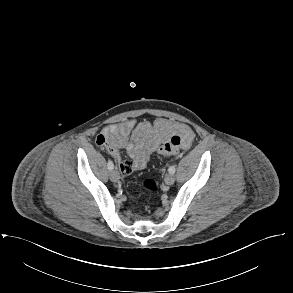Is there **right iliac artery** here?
<instances>
[{
	"mask_svg": "<svg viewBox=\"0 0 293 293\" xmlns=\"http://www.w3.org/2000/svg\"><path fill=\"white\" fill-rule=\"evenodd\" d=\"M107 167H108V169H109L110 171L113 170V168H114V164H113V162H112L111 160L108 161V163H107Z\"/></svg>",
	"mask_w": 293,
	"mask_h": 293,
	"instance_id": "1",
	"label": "right iliac artery"
}]
</instances>
